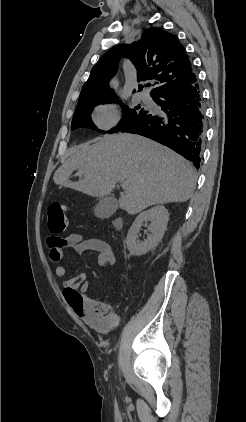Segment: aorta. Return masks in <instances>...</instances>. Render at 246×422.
Listing matches in <instances>:
<instances>
[{
    "instance_id": "aorta-1",
    "label": "aorta",
    "mask_w": 246,
    "mask_h": 422,
    "mask_svg": "<svg viewBox=\"0 0 246 422\" xmlns=\"http://www.w3.org/2000/svg\"><path fill=\"white\" fill-rule=\"evenodd\" d=\"M113 86L114 87H117V82L116 81H113Z\"/></svg>"
}]
</instances>
